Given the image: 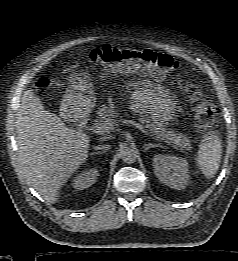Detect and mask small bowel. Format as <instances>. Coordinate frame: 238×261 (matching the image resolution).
I'll list each match as a JSON object with an SVG mask.
<instances>
[{
  "label": "small bowel",
  "mask_w": 238,
  "mask_h": 261,
  "mask_svg": "<svg viewBox=\"0 0 238 261\" xmlns=\"http://www.w3.org/2000/svg\"><path fill=\"white\" fill-rule=\"evenodd\" d=\"M129 89L131 106L135 112H149L159 122H167L174 116L176 101L168 90L149 81L133 82Z\"/></svg>",
  "instance_id": "1"
}]
</instances>
